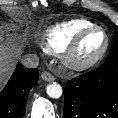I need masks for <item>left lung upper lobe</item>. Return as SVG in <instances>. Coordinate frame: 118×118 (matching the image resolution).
I'll use <instances>...</instances> for the list:
<instances>
[{
    "label": "left lung upper lobe",
    "instance_id": "left-lung-upper-lobe-1",
    "mask_svg": "<svg viewBox=\"0 0 118 118\" xmlns=\"http://www.w3.org/2000/svg\"><path fill=\"white\" fill-rule=\"evenodd\" d=\"M114 30H115V33H116L117 36H116V39H115V43L112 47V50L106 58V62L118 60V26L115 25Z\"/></svg>",
    "mask_w": 118,
    "mask_h": 118
}]
</instances>
